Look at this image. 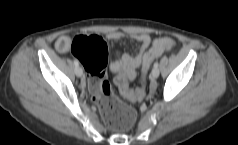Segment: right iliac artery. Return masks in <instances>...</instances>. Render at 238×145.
<instances>
[{"mask_svg":"<svg viewBox=\"0 0 238 145\" xmlns=\"http://www.w3.org/2000/svg\"><path fill=\"white\" fill-rule=\"evenodd\" d=\"M74 64H75L76 67L79 65V62H78L77 59H74Z\"/></svg>","mask_w":238,"mask_h":145,"instance_id":"1","label":"right iliac artery"}]
</instances>
